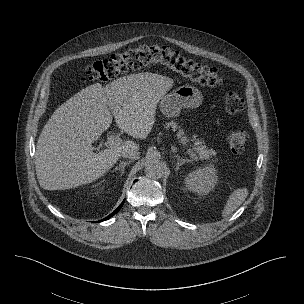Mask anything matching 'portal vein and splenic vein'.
I'll return each instance as SVG.
<instances>
[{"label":"portal vein and splenic vein","mask_w":304,"mask_h":304,"mask_svg":"<svg viewBox=\"0 0 304 304\" xmlns=\"http://www.w3.org/2000/svg\"><path fill=\"white\" fill-rule=\"evenodd\" d=\"M121 144H122V139L117 135H110L108 137L107 142L105 143V145L107 147L119 146ZM188 152H189L191 158H193L194 160H197V156L194 152H192V151H188Z\"/></svg>","instance_id":"18ae733b"}]
</instances>
